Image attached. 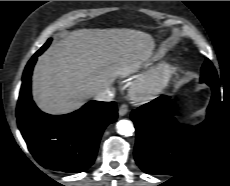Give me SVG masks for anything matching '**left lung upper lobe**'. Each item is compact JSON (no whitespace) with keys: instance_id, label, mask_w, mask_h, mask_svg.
I'll list each match as a JSON object with an SVG mask.
<instances>
[{"instance_id":"obj_1","label":"left lung upper lobe","mask_w":230,"mask_h":186,"mask_svg":"<svg viewBox=\"0 0 230 186\" xmlns=\"http://www.w3.org/2000/svg\"><path fill=\"white\" fill-rule=\"evenodd\" d=\"M201 82H205V83L218 82L216 70L208 59H206L202 67Z\"/></svg>"}]
</instances>
